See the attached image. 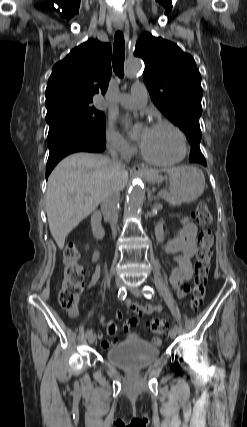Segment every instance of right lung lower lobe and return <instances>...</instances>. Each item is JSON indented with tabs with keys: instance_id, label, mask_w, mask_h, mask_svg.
Segmentation results:
<instances>
[{
	"instance_id": "1",
	"label": "right lung lower lobe",
	"mask_w": 247,
	"mask_h": 427,
	"mask_svg": "<svg viewBox=\"0 0 247 427\" xmlns=\"http://www.w3.org/2000/svg\"><path fill=\"white\" fill-rule=\"evenodd\" d=\"M47 144L50 153L46 165V179L55 165L65 156L80 151L100 153L106 148L105 143L65 125L49 126Z\"/></svg>"
}]
</instances>
